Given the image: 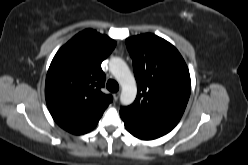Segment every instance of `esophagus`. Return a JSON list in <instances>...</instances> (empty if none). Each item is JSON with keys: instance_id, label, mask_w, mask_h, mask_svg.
I'll return each instance as SVG.
<instances>
[{"instance_id": "34e87169", "label": "esophagus", "mask_w": 248, "mask_h": 165, "mask_svg": "<svg viewBox=\"0 0 248 165\" xmlns=\"http://www.w3.org/2000/svg\"><path fill=\"white\" fill-rule=\"evenodd\" d=\"M114 99L117 101L118 100V98L120 97V92H116V93H114Z\"/></svg>"}]
</instances>
